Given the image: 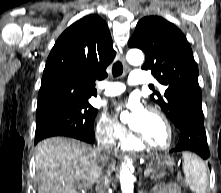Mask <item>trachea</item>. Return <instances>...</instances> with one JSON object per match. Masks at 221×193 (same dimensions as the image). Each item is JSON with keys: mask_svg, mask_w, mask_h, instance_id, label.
<instances>
[{"mask_svg": "<svg viewBox=\"0 0 221 193\" xmlns=\"http://www.w3.org/2000/svg\"><path fill=\"white\" fill-rule=\"evenodd\" d=\"M123 73V66L120 61H117L113 65L112 74L114 77L120 76ZM152 88V87H150Z\"/></svg>", "mask_w": 221, "mask_h": 193, "instance_id": "trachea-1", "label": "trachea"}]
</instances>
